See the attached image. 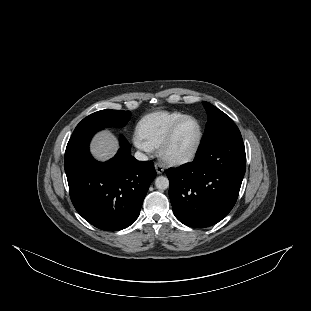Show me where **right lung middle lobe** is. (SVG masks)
Here are the masks:
<instances>
[{
	"instance_id": "1",
	"label": "right lung middle lobe",
	"mask_w": 311,
	"mask_h": 311,
	"mask_svg": "<svg viewBox=\"0 0 311 311\" xmlns=\"http://www.w3.org/2000/svg\"><path fill=\"white\" fill-rule=\"evenodd\" d=\"M129 119V111L105 109L84 118L76 126L74 132L90 128L103 129L107 127H122Z\"/></svg>"
}]
</instances>
